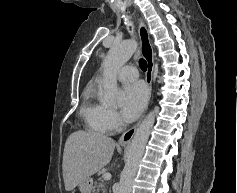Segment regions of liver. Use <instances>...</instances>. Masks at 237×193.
<instances>
[{"mask_svg": "<svg viewBox=\"0 0 237 193\" xmlns=\"http://www.w3.org/2000/svg\"><path fill=\"white\" fill-rule=\"evenodd\" d=\"M114 148L115 141L100 133L79 130L70 134L65 143L62 164L65 190H73L106 166Z\"/></svg>", "mask_w": 237, "mask_h": 193, "instance_id": "6515ba94", "label": "liver"}]
</instances>
